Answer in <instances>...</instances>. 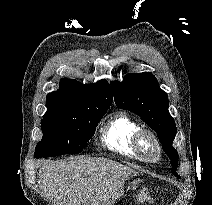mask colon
Instances as JSON below:
<instances>
[{
    "label": "colon",
    "mask_w": 212,
    "mask_h": 205,
    "mask_svg": "<svg viewBox=\"0 0 212 205\" xmlns=\"http://www.w3.org/2000/svg\"><path fill=\"white\" fill-rule=\"evenodd\" d=\"M150 199H151L150 193L148 191H144L139 196L138 202H148V201H150Z\"/></svg>",
    "instance_id": "colon-1"
}]
</instances>
